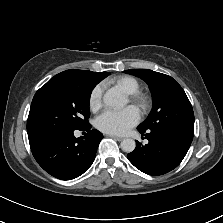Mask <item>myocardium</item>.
<instances>
[{
  "mask_svg": "<svg viewBox=\"0 0 223 223\" xmlns=\"http://www.w3.org/2000/svg\"><path fill=\"white\" fill-rule=\"evenodd\" d=\"M129 100L142 110L148 109V107L150 105L149 97L147 95H145L143 93H139V92L134 95H131L129 97Z\"/></svg>",
  "mask_w": 223,
  "mask_h": 223,
  "instance_id": "obj_1",
  "label": "myocardium"
}]
</instances>
